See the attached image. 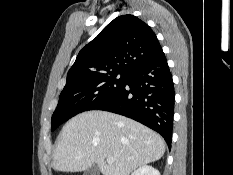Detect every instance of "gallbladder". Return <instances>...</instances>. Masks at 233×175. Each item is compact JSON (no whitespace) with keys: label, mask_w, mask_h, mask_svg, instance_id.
Segmentation results:
<instances>
[{"label":"gallbladder","mask_w":233,"mask_h":175,"mask_svg":"<svg viewBox=\"0 0 233 175\" xmlns=\"http://www.w3.org/2000/svg\"><path fill=\"white\" fill-rule=\"evenodd\" d=\"M83 175H99V168L96 164H93L90 168L84 171Z\"/></svg>","instance_id":"gallbladder-1"}]
</instances>
